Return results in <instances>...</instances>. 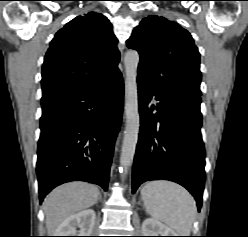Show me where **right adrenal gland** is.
<instances>
[{
  "label": "right adrenal gland",
  "instance_id": "right-adrenal-gland-1",
  "mask_svg": "<svg viewBox=\"0 0 248 237\" xmlns=\"http://www.w3.org/2000/svg\"><path fill=\"white\" fill-rule=\"evenodd\" d=\"M98 200H102V196H101V194L99 195V198H98Z\"/></svg>",
  "mask_w": 248,
  "mask_h": 237
}]
</instances>
